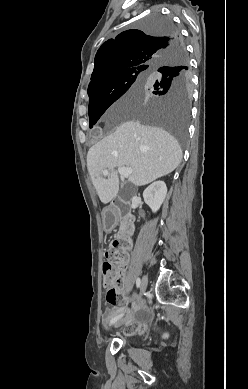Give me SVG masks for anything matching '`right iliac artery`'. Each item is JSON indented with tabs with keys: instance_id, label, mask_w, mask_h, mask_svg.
<instances>
[{
	"instance_id": "82829eb1",
	"label": "right iliac artery",
	"mask_w": 248,
	"mask_h": 389,
	"mask_svg": "<svg viewBox=\"0 0 248 389\" xmlns=\"http://www.w3.org/2000/svg\"><path fill=\"white\" fill-rule=\"evenodd\" d=\"M140 284H141V280H140V278H137V280H136L137 288L140 287ZM124 314H125V312H122V313L118 314L116 317H114L112 319V321L110 323L111 324L115 323L117 320H119L121 317H123Z\"/></svg>"
}]
</instances>
